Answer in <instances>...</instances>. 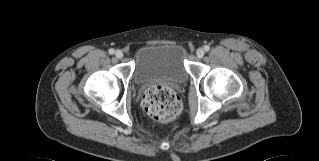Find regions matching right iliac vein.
<instances>
[{"mask_svg":"<svg viewBox=\"0 0 319 161\" xmlns=\"http://www.w3.org/2000/svg\"><path fill=\"white\" fill-rule=\"evenodd\" d=\"M115 57L117 59H122L124 57V54H123V52L121 50H116L115 51Z\"/></svg>","mask_w":319,"mask_h":161,"instance_id":"63e3f726","label":"right iliac vein"}]
</instances>
